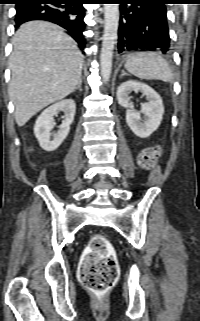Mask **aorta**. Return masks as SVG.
Here are the masks:
<instances>
[{
    "label": "aorta",
    "mask_w": 200,
    "mask_h": 321,
    "mask_svg": "<svg viewBox=\"0 0 200 321\" xmlns=\"http://www.w3.org/2000/svg\"><path fill=\"white\" fill-rule=\"evenodd\" d=\"M104 34L100 54L101 75L103 81H109L112 71V59L119 25V5L104 4Z\"/></svg>",
    "instance_id": "obj_1"
}]
</instances>
